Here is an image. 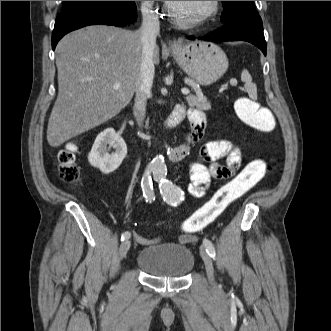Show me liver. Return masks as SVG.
<instances>
[{"label": "liver", "mask_w": 331, "mask_h": 331, "mask_svg": "<svg viewBox=\"0 0 331 331\" xmlns=\"http://www.w3.org/2000/svg\"><path fill=\"white\" fill-rule=\"evenodd\" d=\"M141 58L139 31L94 25L64 36L56 47L58 96L48 121L49 145L58 147L119 114L140 82ZM153 62L159 63L157 45Z\"/></svg>", "instance_id": "1"}]
</instances>
